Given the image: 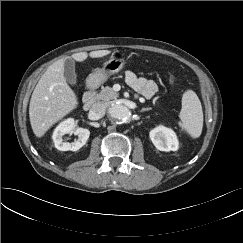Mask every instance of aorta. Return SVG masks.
<instances>
[{"label":"aorta","mask_w":243,"mask_h":243,"mask_svg":"<svg viewBox=\"0 0 243 243\" xmlns=\"http://www.w3.org/2000/svg\"><path fill=\"white\" fill-rule=\"evenodd\" d=\"M109 115L122 122L127 123L131 120L132 114L130 110L122 104H114L109 108Z\"/></svg>","instance_id":"1"}]
</instances>
